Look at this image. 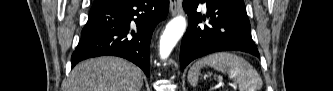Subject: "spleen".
Returning <instances> with one entry per match:
<instances>
[{"mask_svg":"<svg viewBox=\"0 0 333 91\" xmlns=\"http://www.w3.org/2000/svg\"><path fill=\"white\" fill-rule=\"evenodd\" d=\"M205 66L227 73L238 84L240 91H259L262 88L263 81L255 68L230 52L210 54L196 61L188 72V81L192 86L197 85L199 72Z\"/></svg>","mask_w":333,"mask_h":91,"instance_id":"obj_1","label":"spleen"}]
</instances>
